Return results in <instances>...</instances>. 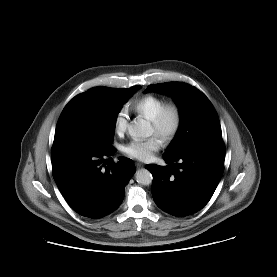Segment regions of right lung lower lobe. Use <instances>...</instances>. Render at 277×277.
<instances>
[{"label":"right lung lower lobe","instance_id":"98d812e1","mask_svg":"<svg viewBox=\"0 0 277 277\" xmlns=\"http://www.w3.org/2000/svg\"><path fill=\"white\" fill-rule=\"evenodd\" d=\"M115 152L114 148L102 151L79 143L54 141L53 178L69 206L78 214L102 218L123 201L125 186L136 169L133 161L125 157L107 165L105 158Z\"/></svg>","mask_w":277,"mask_h":277}]
</instances>
